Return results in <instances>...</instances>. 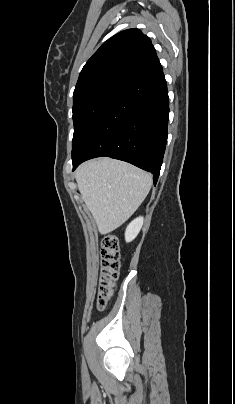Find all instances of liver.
Listing matches in <instances>:
<instances>
[{
  "label": "liver",
  "mask_w": 235,
  "mask_h": 404,
  "mask_svg": "<svg viewBox=\"0 0 235 404\" xmlns=\"http://www.w3.org/2000/svg\"><path fill=\"white\" fill-rule=\"evenodd\" d=\"M75 178L101 234L122 225L138 209L152 185L149 173L111 158L83 163Z\"/></svg>",
  "instance_id": "obj_1"
}]
</instances>
